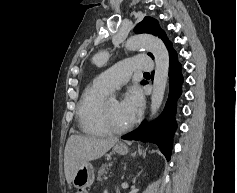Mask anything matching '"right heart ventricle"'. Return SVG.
Wrapping results in <instances>:
<instances>
[{"label":"right heart ventricle","mask_w":237,"mask_h":193,"mask_svg":"<svg viewBox=\"0 0 237 193\" xmlns=\"http://www.w3.org/2000/svg\"><path fill=\"white\" fill-rule=\"evenodd\" d=\"M111 91L96 80L88 85L80 98L77 107V119L80 129L91 136H105L108 132L99 121L100 104Z\"/></svg>","instance_id":"1"}]
</instances>
